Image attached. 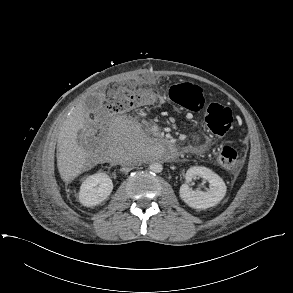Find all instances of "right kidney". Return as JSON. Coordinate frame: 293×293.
<instances>
[{
    "label": "right kidney",
    "instance_id": "right-kidney-1",
    "mask_svg": "<svg viewBox=\"0 0 293 293\" xmlns=\"http://www.w3.org/2000/svg\"><path fill=\"white\" fill-rule=\"evenodd\" d=\"M113 190L111 178L106 173L88 176L79 191V201L83 206L93 207L108 198Z\"/></svg>",
    "mask_w": 293,
    "mask_h": 293
}]
</instances>
